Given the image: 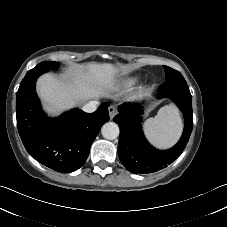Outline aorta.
Returning <instances> with one entry per match:
<instances>
[{
	"instance_id": "762f6f07",
	"label": "aorta",
	"mask_w": 227,
	"mask_h": 227,
	"mask_svg": "<svg viewBox=\"0 0 227 227\" xmlns=\"http://www.w3.org/2000/svg\"><path fill=\"white\" fill-rule=\"evenodd\" d=\"M102 136L108 140H114L119 136L120 130L116 123L108 122L102 126Z\"/></svg>"
}]
</instances>
